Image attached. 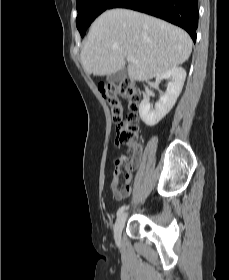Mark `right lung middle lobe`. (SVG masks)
Returning a JSON list of instances; mask_svg holds the SVG:
<instances>
[{"mask_svg": "<svg viewBox=\"0 0 229 280\" xmlns=\"http://www.w3.org/2000/svg\"><path fill=\"white\" fill-rule=\"evenodd\" d=\"M115 0H77L76 6L78 16L76 18V26L81 36L86 33L87 28L92 21L100 15L103 11L109 8V6Z\"/></svg>", "mask_w": 229, "mask_h": 280, "instance_id": "obj_1", "label": "right lung middle lobe"}]
</instances>
